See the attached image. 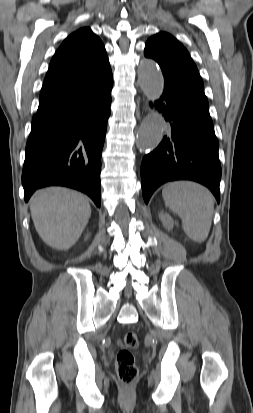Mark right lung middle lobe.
I'll use <instances>...</instances> for the list:
<instances>
[{
    "instance_id": "right-lung-middle-lobe-1",
    "label": "right lung middle lobe",
    "mask_w": 253,
    "mask_h": 413,
    "mask_svg": "<svg viewBox=\"0 0 253 413\" xmlns=\"http://www.w3.org/2000/svg\"><path fill=\"white\" fill-rule=\"evenodd\" d=\"M43 119H44V118H33V119H32V124L41 122Z\"/></svg>"
}]
</instances>
